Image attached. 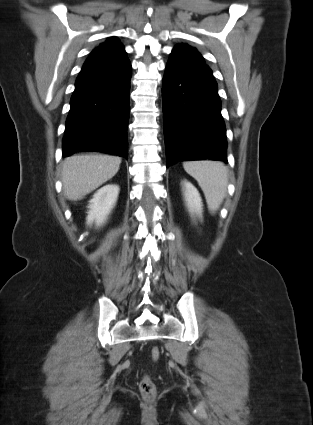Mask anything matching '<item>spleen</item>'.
Masks as SVG:
<instances>
[{
	"mask_svg": "<svg viewBox=\"0 0 313 425\" xmlns=\"http://www.w3.org/2000/svg\"><path fill=\"white\" fill-rule=\"evenodd\" d=\"M185 171L195 178L201 187L208 205L214 213L222 204L228 185V170L217 161H190L184 162Z\"/></svg>",
	"mask_w": 313,
	"mask_h": 425,
	"instance_id": "1",
	"label": "spleen"
}]
</instances>
